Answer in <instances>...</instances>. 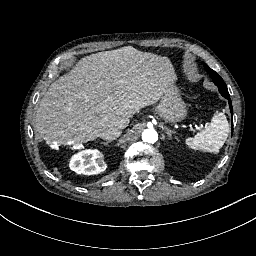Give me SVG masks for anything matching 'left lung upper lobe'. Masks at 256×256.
I'll return each mask as SVG.
<instances>
[{
    "mask_svg": "<svg viewBox=\"0 0 256 256\" xmlns=\"http://www.w3.org/2000/svg\"><path fill=\"white\" fill-rule=\"evenodd\" d=\"M205 69L210 74L214 83L218 86L221 95L228 99L230 110L231 113L233 114L231 99L229 97L227 86L224 83L223 79L214 70L210 69L207 65H205Z\"/></svg>",
    "mask_w": 256,
    "mask_h": 256,
    "instance_id": "left-lung-upper-lobe-1",
    "label": "left lung upper lobe"
}]
</instances>
